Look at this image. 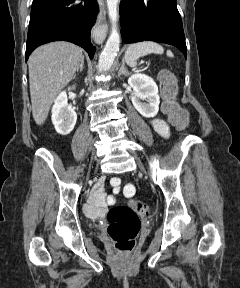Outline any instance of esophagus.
Wrapping results in <instances>:
<instances>
[{"label": "esophagus", "instance_id": "esophagus-1", "mask_svg": "<svg viewBox=\"0 0 240 288\" xmlns=\"http://www.w3.org/2000/svg\"><path fill=\"white\" fill-rule=\"evenodd\" d=\"M98 1V4H99V7H100V20L102 22H105V15H106V9H105V2L104 0H97ZM104 29L106 30L107 29V25L104 24L103 25Z\"/></svg>", "mask_w": 240, "mask_h": 288}]
</instances>
